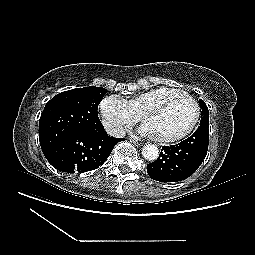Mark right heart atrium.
<instances>
[{
    "label": "right heart atrium",
    "mask_w": 255,
    "mask_h": 255,
    "mask_svg": "<svg viewBox=\"0 0 255 255\" xmlns=\"http://www.w3.org/2000/svg\"><path fill=\"white\" fill-rule=\"evenodd\" d=\"M100 114L105 128L116 135L140 120L128 102L116 95L106 96L101 101Z\"/></svg>",
    "instance_id": "obj_1"
}]
</instances>
